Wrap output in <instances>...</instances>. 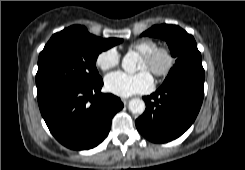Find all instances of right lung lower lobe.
Returning a JSON list of instances; mask_svg holds the SVG:
<instances>
[{"label":"right lung lower lobe","instance_id":"right-lung-lower-lobe-1","mask_svg":"<svg viewBox=\"0 0 245 170\" xmlns=\"http://www.w3.org/2000/svg\"><path fill=\"white\" fill-rule=\"evenodd\" d=\"M103 81L87 87H67L38 98L39 108L52 135L65 147L87 150L108 135L121 100L101 93Z\"/></svg>","mask_w":245,"mask_h":170}]
</instances>
